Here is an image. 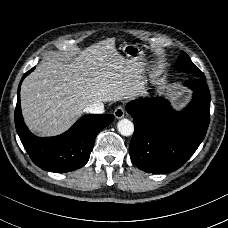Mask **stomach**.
<instances>
[{
    "mask_svg": "<svg viewBox=\"0 0 228 228\" xmlns=\"http://www.w3.org/2000/svg\"><path fill=\"white\" fill-rule=\"evenodd\" d=\"M120 49L123 51L125 56L129 60H132L133 63L137 64V66L145 65V62H146L145 53L143 51V48L139 46V44L126 43L122 45ZM149 76H150L149 81L153 86L158 87L159 85H161L160 80L157 78V75L155 73L150 72Z\"/></svg>",
    "mask_w": 228,
    "mask_h": 228,
    "instance_id": "obj_1",
    "label": "stomach"
}]
</instances>
